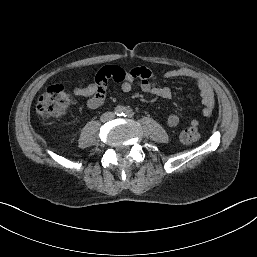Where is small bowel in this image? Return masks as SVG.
Instances as JSON below:
<instances>
[{"mask_svg": "<svg viewBox=\"0 0 257 257\" xmlns=\"http://www.w3.org/2000/svg\"><path fill=\"white\" fill-rule=\"evenodd\" d=\"M97 75H104L107 79H112L120 83L121 90L124 92L131 91L134 87L139 88L144 93H150L159 98L169 99L172 96V91L167 86H161L156 81L154 73L143 66H134L129 69H124L116 65H108L102 67ZM96 75V76H97ZM164 76L166 78H185L194 82L196 85L201 102L203 104L202 113L206 117H210L215 106V95L209 82L199 73L186 69H173L167 71ZM107 86L100 88L96 81L89 83L85 87H76L73 90L75 96L88 98L86 106L89 109H97L101 107L106 99ZM180 123V118L177 114H170L166 118V124L169 127H176ZM197 119L191 120L193 127L198 126Z\"/></svg>", "mask_w": 257, "mask_h": 257, "instance_id": "1", "label": "small bowel"}]
</instances>
